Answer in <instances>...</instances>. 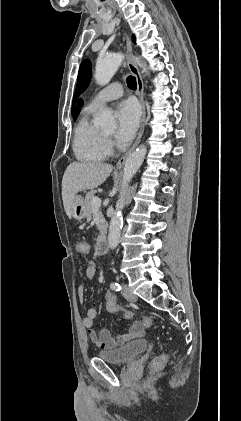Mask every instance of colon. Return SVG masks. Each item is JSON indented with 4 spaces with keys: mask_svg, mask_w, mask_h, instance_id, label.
I'll use <instances>...</instances> for the list:
<instances>
[{
    "mask_svg": "<svg viewBox=\"0 0 241 421\" xmlns=\"http://www.w3.org/2000/svg\"><path fill=\"white\" fill-rule=\"evenodd\" d=\"M76 250L80 255H87L90 251V245L87 241L80 240L76 244ZM105 300H106V309L109 312L122 313L126 319H132L135 317L133 313L127 311L118 303V301L116 300L115 296L112 293L107 292L105 295ZM139 321L145 324L146 326H149L152 323V321L146 317H140ZM165 361H166L165 355L158 356L154 359L153 366L155 368H158L162 366Z\"/></svg>",
    "mask_w": 241,
    "mask_h": 421,
    "instance_id": "obj_1",
    "label": "colon"
}]
</instances>
